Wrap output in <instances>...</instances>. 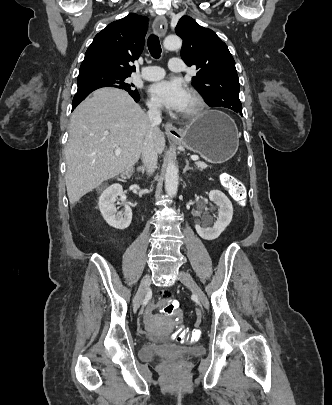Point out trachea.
<instances>
[{"label": "trachea", "mask_w": 332, "mask_h": 405, "mask_svg": "<svg viewBox=\"0 0 332 405\" xmlns=\"http://www.w3.org/2000/svg\"><path fill=\"white\" fill-rule=\"evenodd\" d=\"M148 50L153 58L158 59L161 55V45L158 36L152 34L148 38Z\"/></svg>", "instance_id": "1"}]
</instances>
